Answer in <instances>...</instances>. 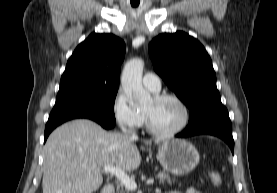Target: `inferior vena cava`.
Segmentation results:
<instances>
[{
	"instance_id": "602c4592",
	"label": "inferior vena cava",
	"mask_w": 277,
	"mask_h": 193,
	"mask_svg": "<svg viewBox=\"0 0 277 193\" xmlns=\"http://www.w3.org/2000/svg\"><path fill=\"white\" fill-rule=\"evenodd\" d=\"M122 131L124 133H129L131 134V138H137L136 134L134 132H131V131H127L126 128H124L123 126L121 127Z\"/></svg>"
}]
</instances>
